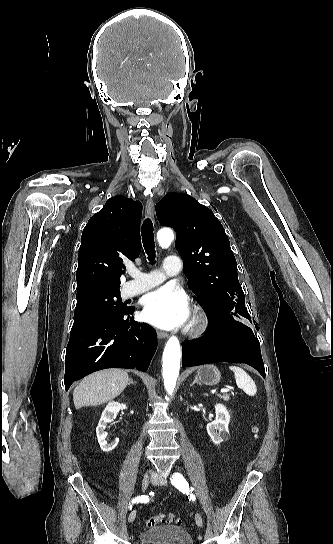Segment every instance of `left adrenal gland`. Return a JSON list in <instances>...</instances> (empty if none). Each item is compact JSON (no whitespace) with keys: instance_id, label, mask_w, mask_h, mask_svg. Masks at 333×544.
I'll use <instances>...</instances> for the list:
<instances>
[{"instance_id":"a2214340","label":"left adrenal gland","mask_w":333,"mask_h":544,"mask_svg":"<svg viewBox=\"0 0 333 544\" xmlns=\"http://www.w3.org/2000/svg\"><path fill=\"white\" fill-rule=\"evenodd\" d=\"M200 384V382L198 381L197 377H195L194 381L191 383L190 386H193L194 384Z\"/></svg>"}]
</instances>
